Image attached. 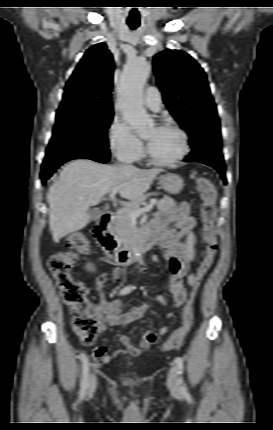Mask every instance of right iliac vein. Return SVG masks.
<instances>
[{
  "instance_id": "obj_1",
  "label": "right iliac vein",
  "mask_w": 273,
  "mask_h": 430,
  "mask_svg": "<svg viewBox=\"0 0 273 430\" xmlns=\"http://www.w3.org/2000/svg\"><path fill=\"white\" fill-rule=\"evenodd\" d=\"M96 383H97L96 377L94 373L91 372L89 375V384H88L89 394H92L95 391Z\"/></svg>"
}]
</instances>
